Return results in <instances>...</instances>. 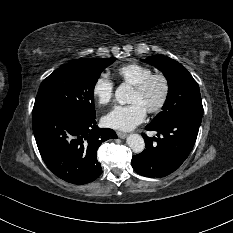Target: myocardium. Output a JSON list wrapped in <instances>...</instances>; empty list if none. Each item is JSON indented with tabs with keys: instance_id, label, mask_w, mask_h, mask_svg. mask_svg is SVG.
I'll return each instance as SVG.
<instances>
[{
	"instance_id": "1",
	"label": "myocardium",
	"mask_w": 233,
	"mask_h": 233,
	"mask_svg": "<svg viewBox=\"0 0 233 233\" xmlns=\"http://www.w3.org/2000/svg\"><path fill=\"white\" fill-rule=\"evenodd\" d=\"M154 81H160L161 82V84H162V95H161L160 100L158 101V103L155 106H153V107L146 110L149 113H158L166 105V103L168 101V98H169V94H170V82H169V79L163 73H153L150 76H148L147 78H145L138 85L134 86V90L136 92L144 93Z\"/></svg>"
}]
</instances>
